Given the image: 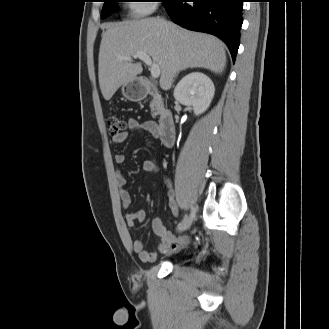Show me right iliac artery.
<instances>
[{"label": "right iliac artery", "mask_w": 329, "mask_h": 329, "mask_svg": "<svg viewBox=\"0 0 329 329\" xmlns=\"http://www.w3.org/2000/svg\"><path fill=\"white\" fill-rule=\"evenodd\" d=\"M194 217H195V209L192 207L189 218H194ZM185 218H188V217L186 216Z\"/></svg>", "instance_id": "82829eb1"}]
</instances>
